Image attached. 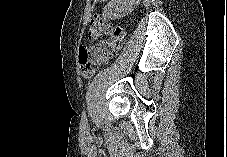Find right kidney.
Returning a JSON list of instances; mask_svg holds the SVG:
<instances>
[{
    "mask_svg": "<svg viewBox=\"0 0 227 157\" xmlns=\"http://www.w3.org/2000/svg\"><path fill=\"white\" fill-rule=\"evenodd\" d=\"M128 1L113 0L104 8V15L110 19H117L123 17L128 11L130 6L127 5Z\"/></svg>",
    "mask_w": 227,
    "mask_h": 157,
    "instance_id": "right-kidney-1",
    "label": "right kidney"
}]
</instances>
